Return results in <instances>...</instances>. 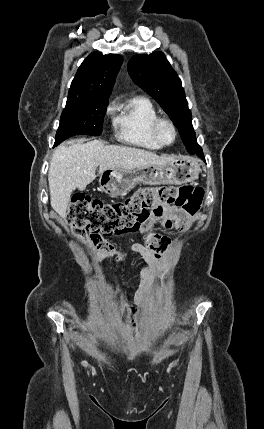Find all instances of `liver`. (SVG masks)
Listing matches in <instances>:
<instances>
[{
    "instance_id": "6515ba94",
    "label": "liver",
    "mask_w": 264,
    "mask_h": 429,
    "mask_svg": "<svg viewBox=\"0 0 264 429\" xmlns=\"http://www.w3.org/2000/svg\"><path fill=\"white\" fill-rule=\"evenodd\" d=\"M176 158L126 146L104 145L99 140L63 143L54 150L48 172L51 206L60 217H65L72 192L85 190L95 180L98 166L101 174L108 169L165 165Z\"/></svg>"
}]
</instances>
